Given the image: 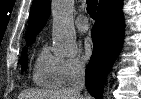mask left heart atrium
<instances>
[{
  "label": "left heart atrium",
  "mask_w": 141,
  "mask_h": 99,
  "mask_svg": "<svg viewBox=\"0 0 141 99\" xmlns=\"http://www.w3.org/2000/svg\"><path fill=\"white\" fill-rule=\"evenodd\" d=\"M83 49L87 56H90L93 51V41L91 38L87 37L83 41Z\"/></svg>",
  "instance_id": "obj_1"
}]
</instances>
